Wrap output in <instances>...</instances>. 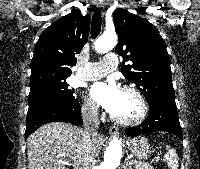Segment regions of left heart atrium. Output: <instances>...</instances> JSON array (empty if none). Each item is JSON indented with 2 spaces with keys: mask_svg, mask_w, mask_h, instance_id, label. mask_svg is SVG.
I'll list each match as a JSON object with an SVG mask.
<instances>
[{
  "mask_svg": "<svg viewBox=\"0 0 200 169\" xmlns=\"http://www.w3.org/2000/svg\"><path fill=\"white\" fill-rule=\"evenodd\" d=\"M120 92L114 81L96 82L90 88L91 98L110 114L117 107Z\"/></svg>",
  "mask_w": 200,
  "mask_h": 169,
  "instance_id": "39dd6f15",
  "label": "left heart atrium"
}]
</instances>
